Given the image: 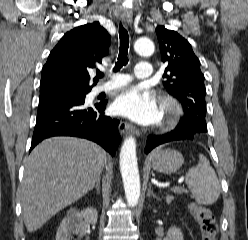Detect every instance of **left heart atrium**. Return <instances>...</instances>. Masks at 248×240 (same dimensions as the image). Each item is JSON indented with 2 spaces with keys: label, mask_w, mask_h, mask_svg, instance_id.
I'll return each instance as SVG.
<instances>
[{
  "label": "left heart atrium",
  "mask_w": 248,
  "mask_h": 240,
  "mask_svg": "<svg viewBox=\"0 0 248 240\" xmlns=\"http://www.w3.org/2000/svg\"><path fill=\"white\" fill-rule=\"evenodd\" d=\"M116 113L141 124H155L161 119V110L153 92L140 87L124 90L115 100Z\"/></svg>",
  "instance_id": "left-heart-atrium-1"
}]
</instances>
